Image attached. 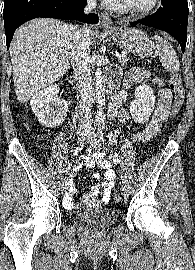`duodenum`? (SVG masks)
<instances>
[{
	"mask_svg": "<svg viewBox=\"0 0 195 270\" xmlns=\"http://www.w3.org/2000/svg\"><path fill=\"white\" fill-rule=\"evenodd\" d=\"M111 86L114 87L115 86L114 83H112Z\"/></svg>",
	"mask_w": 195,
	"mask_h": 270,
	"instance_id": "410a0bca",
	"label": "duodenum"
}]
</instances>
